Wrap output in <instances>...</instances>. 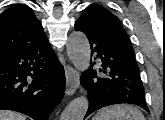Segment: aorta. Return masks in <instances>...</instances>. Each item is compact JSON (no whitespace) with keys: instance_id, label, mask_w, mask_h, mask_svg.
<instances>
[{"instance_id":"1","label":"aorta","mask_w":165,"mask_h":120,"mask_svg":"<svg viewBox=\"0 0 165 120\" xmlns=\"http://www.w3.org/2000/svg\"><path fill=\"white\" fill-rule=\"evenodd\" d=\"M67 55L75 66L80 71H85L90 65V45L86 36L79 31H74L68 38ZM89 106V101L86 96H81L69 103L61 114L60 120H83Z\"/></svg>"}]
</instances>
